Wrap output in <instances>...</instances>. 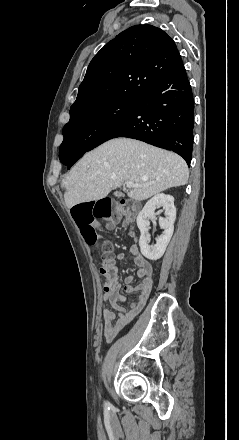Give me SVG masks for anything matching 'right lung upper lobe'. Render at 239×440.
Wrapping results in <instances>:
<instances>
[{
  "label": "right lung upper lobe",
  "mask_w": 239,
  "mask_h": 440,
  "mask_svg": "<svg viewBox=\"0 0 239 440\" xmlns=\"http://www.w3.org/2000/svg\"><path fill=\"white\" fill-rule=\"evenodd\" d=\"M180 60L175 42L163 30L147 24L128 28L90 62L70 116L111 98H139Z\"/></svg>",
  "instance_id": "cb5924a9"
}]
</instances>
